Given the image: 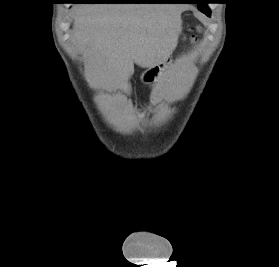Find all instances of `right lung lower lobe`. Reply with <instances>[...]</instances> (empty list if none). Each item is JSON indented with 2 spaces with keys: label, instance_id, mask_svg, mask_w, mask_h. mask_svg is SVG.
<instances>
[{
  "label": "right lung lower lobe",
  "instance_id": "98d812e1",
  "mask_svg": "<svg viewBox=\"0 0 279 267\" xmlns=\"http://www.w3.org/2000/svg\"><path fill=\"white\" fill-rule=\"evenodd\" d=\"M142 1H133V2H122L118 0H74L71 3H144Z\"/></svg>",
  "mask_w": 279,
  "mask_h": 267
}]
</instances>
